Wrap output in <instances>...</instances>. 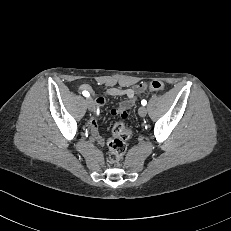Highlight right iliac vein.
<instances>
[{"instance_id":"obj_1","label":"right iliac vein","mask_w":231,"mask_h":231,"mask_svg":"<svg viewBox=\"0 0 231 231\" xmlns=\"http://www.w3.org/2000/svg\"><path fill=\"white\" fill-rule=\"evenodd\" d=\"M86 104H87V108L89 109V111H93L95 109V103L92 98H87Z\"/></svg>"}]
</instances>
